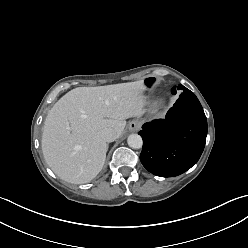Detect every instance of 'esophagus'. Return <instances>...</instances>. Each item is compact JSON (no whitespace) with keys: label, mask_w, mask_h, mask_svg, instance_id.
<instances>
[{"label":"esophagus","mask_w":248,"mask_h":248,"mask_svg":"<svg viewBox=\"0 0 248 248\" xmlns=\"http://www.w3.org/2000/svg\"><path fill=\"white\" fill-rule=\"evenodd\" d=\"M140 123L137 120H133L129 123V129L133 132L139 130Z\"/></svg>","instance_id":"34e87169"}]
</instances>
